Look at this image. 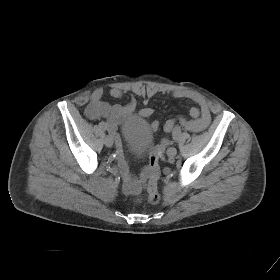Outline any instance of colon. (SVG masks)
Masks as SVG:
<instances>
[{
	"mask_svg": "<svg viewBox=\"0 0 280 280\" xmlns=\"http://www.w3.org/2000/svg\"><path fill=\"white\" fill-rule=\"evenodd\" d=\"M160 175L159 154L156 148H152L149 153L148 165V182L144 195L137 197V201H147L150 204H157L160 200V195L157 188V182Z\"/></svg>",
	"mask_w": 280,
	"mask_h": 280,
	"instance_id": "obj_1",
	"label": "colon"
}]
</instances>
